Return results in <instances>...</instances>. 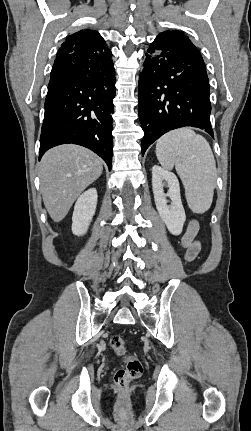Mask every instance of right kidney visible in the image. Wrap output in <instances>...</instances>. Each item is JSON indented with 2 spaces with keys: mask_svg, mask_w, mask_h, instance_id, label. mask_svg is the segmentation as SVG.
I'll list each match as a JSON object with an SVG mask.
<instances>
[{
  "mask_svg": "<svg viewBox=\"0 0 251 431\" xmlns=\"http://www.w3.org/2000/svg\"><path fill=\"white\" fill-rule=\"evenodd\" d=\"M97 191L91 188L85 191L75 203L72 216V232L74 235H84L92 221L97 206Z\"/></svg>",
  "mask_w": 251,
  "mask_h": 431,
  "instance_id": "1",
  "label": "right kidney"
}]
</instances>
